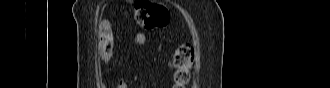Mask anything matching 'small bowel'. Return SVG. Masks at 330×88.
Returning a JSON list of instances; mask_svg holds the SVG:
<instances>
[{"label": "small bowel", "instance_id": "small-bowel-1", "mask_svg": "<svg viewBox=\"0 0 330 88\" xmlns=\"http://www.w3.org/2000/svg\"><path fill=\"white\" fill-rule=\"evenodd\" d=\"M106 28H109V23H104L103 31ZM146 41H147V35L143 32L136 34V36L134 38V43L137 47L144 45L146 43ZM117 88H127V85L124 81H120L117 85Z\"/></svg>", "mask_w": 330, "mask_h": 88}]
</instances>
